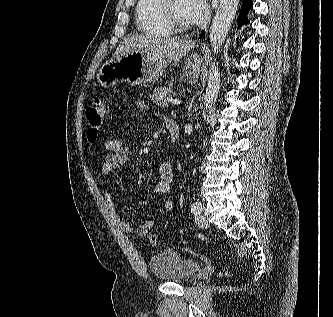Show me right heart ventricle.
<instances>
[{
    "label": "right heart ventricle",
    "instance_id": "right-heart-ventricle-1",
    "mask_svg": "<svg viewBox=\"0 0 333 317\" xmlns=\"http://www.w3.org/2000/svg\"><path fill=\"white\" fill-rule=\"evenodd\" d=\"M135 19L137 29L144 35L170 37L173 34L159 17L158 0H138Z\"/></svg>",
    "mask_w": 333,
    "mask_h": 317
}]
</instances>
